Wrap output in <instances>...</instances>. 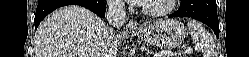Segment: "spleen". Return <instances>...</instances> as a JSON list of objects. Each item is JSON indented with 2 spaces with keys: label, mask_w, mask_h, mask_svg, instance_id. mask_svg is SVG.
Returning a JSON list of instances; mask_svg holds the SVG:
<instances>
[{
  "label": "spleen",
  "mask_w": 249,
  "mask_h": 57,
  "mask_svg": "<svg viewBox=\"0 0 249 57\" xmlns=\"http://www.w3.org/2000/svg\"><path fill=\"white\" fill-rule=\"evenodd\" d=\"M187 25L194 43L204 51L205 57H215L211 44L212 37L207 30L196 20H189Z\"/></svg>",
  "instance_id": "1"
}]
</instances>
